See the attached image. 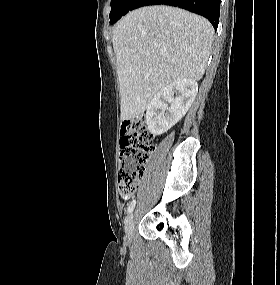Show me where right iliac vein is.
I'll return each instance as SVG.
<instances>
[{"label":"right iliac vein","instance_id":"1","mask_svg":"<svg viewBox=\"0 0 280 285\" xmlns=\"http://www.w3.org/2000/svg\"><path fill=\"white\" fill-rule=\"evenodd\" d=\"M134 230V215L131 213L125 222V234L128 241L132 240Z\"/></svg>","mask_w":280,"mask_h":285}]
</instances>
